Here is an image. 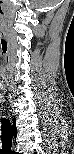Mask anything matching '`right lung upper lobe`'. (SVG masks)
<instances>
[{"label": "right lung upper lobe", "instance_id": "right-lung-upper-lobe-1", "mask_svg": "<svg viewBox=\"0 0 74 154\" xmlns=\"http://www.w3.org/2000/svg\"><path fill=\"white\" fill-rule=\"evenodd\" d=\"M14 130H15V121H14V126H13Z\"/></svg>", "mask_w": 74, "mask_h": 154}]
</instances>
